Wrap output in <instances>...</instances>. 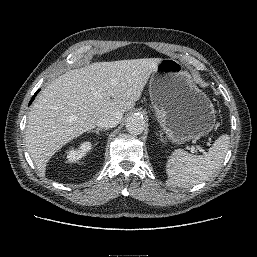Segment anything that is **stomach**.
Instances as JSON below:
<instances>
[{"label":"stomach","mask_w":257,"mask_h":257,"mask_svg":"<svg viewBox=\"0 0 257 257\" xmlns=\"http://www.w3.org/2000/svg\"><path fill=\"white\" fill-rule=\"evenodd\" d=\"M149 92L157 120L172 142L183 144L214 128L212 102L178 60L160 61L150 77Z\"/></svg>","instance_id":"obj_1"}]
</instances>
